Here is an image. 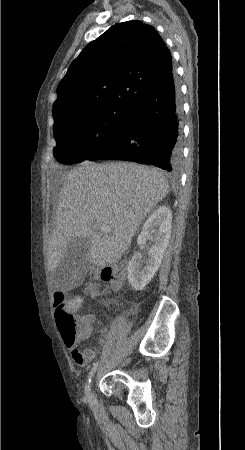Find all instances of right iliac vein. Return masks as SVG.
<instances>
[{"mask_svg":"<svg viewBox=\"0 0 245 450\" xmlns=\"http://www.w3.org/2000/svg\"><path fill=\"white\" fill-rule=\"evenodd\" d=\"M93 387H94V380L92 381L91 388L89 389L88 397L90 398V400H94L95 399L94 392H93Z\"/></svg>","mask_w":245,"mask_h":450,"instance_id":"63e3f726","label":"right iliac vein"}]
</instances>
